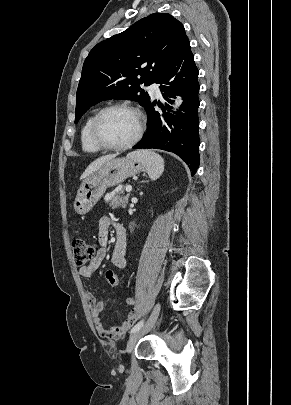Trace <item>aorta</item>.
Listing matches in <instances>:
<instances>
[{
  "label": "aorta",
  "instance_id": "obj_1",
  "mask_svg": "<svg viewBox=\"0 0 291 405\" xmlns=\"http://www.w3.org/2000/svg\"><path fill=\"white\" fill-rule=\"evenodd\" d=\"M176 106H179L181 104V99L177 98L176 102H175Z\"/></svg>",
  "mask_w": 291,
  "mask_h": 405
}]
</instances>
